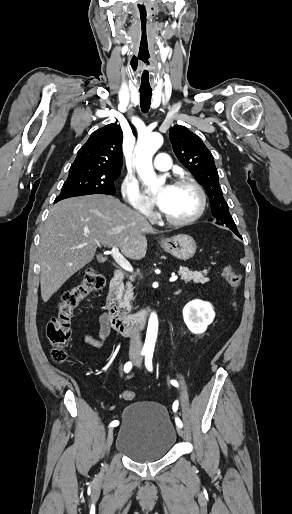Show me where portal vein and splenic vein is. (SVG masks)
<instances>
[{
  "mask_svg": "<svg viewBox=\"0 0 292 514\" xmlns=\"http://www.w3.org/2000/svg\"><path fill=\"white\" fill-rule=\"evenodd\" d=\"M109 254H111L112 258H114L115 262H117V264H119L123 270H126V272H133L131 264H129V262L123 258L118 248H112ZM175 280H178V276H172V278H170V282H175Z\"/></svg>",
  "mask_w": 292,
  "mask_h": 514,
  "instance_id": "obj_1",
  "label": "portal vein and splenic vein"
}]
</instances>
